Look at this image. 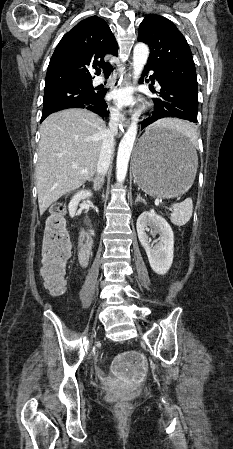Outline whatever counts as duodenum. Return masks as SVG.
<instances>
[{
	"label": "duodenum",
	"instance_id": "1",
	"mask_svg": "<svg viewBox=\"0 0 233 449\" xmlns=\"http://www.w3.org/2000/svg\"><path fill=\"white\" fill-rule=\"evenodd\" d=\"M92 248H93V241L91 235L87 230H85L82 232L80 237V250H79V259L83 267H86L88 265Z\"/></svg>",
	"mask_w": 233,
	"mask_h": 449
}]
</instances>
